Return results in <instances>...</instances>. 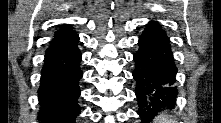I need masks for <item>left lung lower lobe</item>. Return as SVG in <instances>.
<instances>
[{
  "mask_svg": "<svg viewBox=\"0 0 221 123\" xmlns=\"http://www.w3.org/2000/svg\"><path fill=\"white\" fill-rule=\"evenodd\" d=\"M138 45L139 49L133 56L136 64L133 77L136 81L138 114L146 122L161 108H169L175 102L177 68L169 38L157 21L146 25Z\"/></svg>",
  "mask_w": 221,
  "mask_h": 123,
  "instance_id": "0a47b994",
  "label": "left lung lower lobe"
}]
</instances>
